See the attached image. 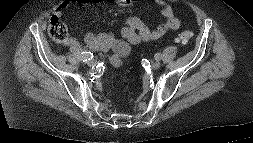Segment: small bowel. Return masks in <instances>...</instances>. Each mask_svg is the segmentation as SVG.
<instances>
[{
  "instance_id": "obj_1",
  "label": "small bowel",
  "mask_w": 253,
  "mask_h": 143,
  "mask_svg": "<svg viewBox=\"0 0 253 143\" xmlns=\"http://www.w3.org/2000/svg\"><path fill=\"white\" fill-rule=\"evenodd\" d=\"M102 0H64L56 9L55 14L61 15L62 12L69 7L82 3L92 4L99 3ZM120 6H129L136 3L138 0H115ZM156 4L162 6V17L164 21L156 28L150 29L140 18L136 16L129 17L125 25L121 28V35L126 43L131 46L139 45L141 42L157 40L171 30H176L180 27L181 21L174 14L173 8L165 0H153ZM84 42L86 46L93 51H107L110 50L115 41L112 36L104 33L94 34L90 31L84 33ZM69 44L76 45V41L71 39ZM125 51L115 56L113 62L119 64L121 58L124 56Z\"/></svg>"
}]
</instances>
